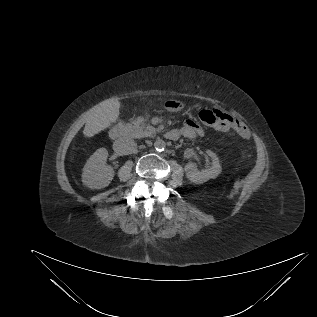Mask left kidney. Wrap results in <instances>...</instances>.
Masks as SVG:
<instances>
[{"label":"left kidney","instance_id":"left-kidney-1","mask_svg":"<svg viewBox=\"0 0 317 317\" xmlns=\"http://www.w3.org/2000/svg\"><path fill=\"white\" fill-rule=\"evenodd\" d=\"M207 154L212 159V166L210 168L205 170H198L196 165L191 162L187 163L184 167L187 178L195 184H202L209 179L216 178L222 171V167L216 153L208 150Z\"/></svg>","mask_w":317,"mask_h":317}]
</instances>
